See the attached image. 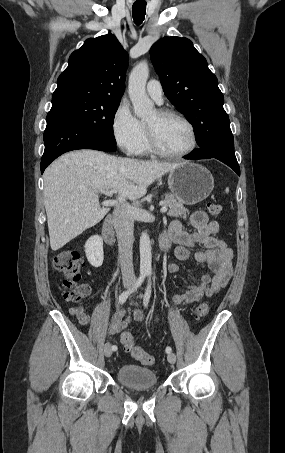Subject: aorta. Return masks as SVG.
Here are the masks:
<instances>
[{
    "mask_svg": "<svg viewBox=\"0 0 285 453\" xmlns=\"http://www.w3.org/2000/svg\"><path fill=\"white\" fill-rule=\"evenodd\" d=\"M149 76V67L146 61L138 63L129 76V96L133 104L134 113L139 118H147L154 112V103L146 94V82ZM151 243L147 232L140 236V273H151L152 267Z\"/></svg>",
    "mask_w": 285,
    "mask_h": 453,
    "instance_id": "aorta-1",
    "label": "aorta"
}]
</instances>
